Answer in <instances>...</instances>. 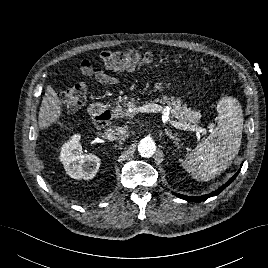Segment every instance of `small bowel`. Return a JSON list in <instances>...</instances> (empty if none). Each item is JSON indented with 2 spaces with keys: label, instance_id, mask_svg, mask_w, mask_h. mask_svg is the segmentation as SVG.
Returning <instances> with one entry per match:
<instances>
[{
  "label": "small bowel",
  "instance_id": "obj_1",
  "mask_svg": "<svg viewBox=\"0 0 268 268\" xmlns=\"http://www.w3.org/2000/svg\"><path fill=\"white\" fill-rule=\"evenodd\" d=\"M81 70L83 74L103 85L116 86L120 82V79L117 75L106 72L101 67L92 65L91 62L88 60H84L82 62ZM157 88L160 89L161 85L159 84Z\"/></svg>",
  "mask_w": 268,
  "mask_h": 268
}]
</instances>
